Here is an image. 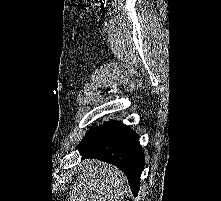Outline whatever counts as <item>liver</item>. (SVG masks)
I'll list each match as a JSON object with an SVG mask.
<instances>
[{"label":"liver","instance_id":"liver-1","mask_svg":"<svg viewBox=\"0 0 221 201\" xmlns=\"http://www.w3.org/2000/svg\"><path fill=\"white\" fill-rule=\"evenodd\" d=\"M72 186L68 201H122L127 192L126 176L113 165L86 159Z\"/></svg>","mask_w":221,"mask_h":201}]
</instances>
